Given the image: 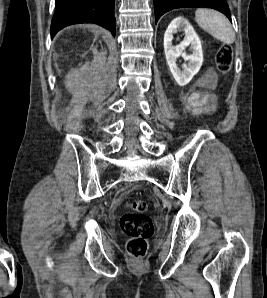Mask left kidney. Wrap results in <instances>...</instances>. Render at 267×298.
<instances>
[{"mask_svg":"<svg viewBox=\"0 0 267 298\" xmlns=\"http://www.w3.org/2000/svg\"><path fill=\"white\" fill-rule=\"evenodd\" d=\"M177 30L184 31V40L177 46L172 44L173 35ZM190 47L192 54L187 55L185 48ZM164 52L170 72L179 86L187 85L199 72L203 63L201 41L189 21L183 17L175 18L168 26L164 34ZM182 56L188 61L181 70L176 64L177 58Z\"/></svg>","mask_w":267,"mask_h":298,"instance_id":"1","label":"left kidney"}]
</instances>
